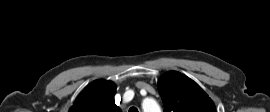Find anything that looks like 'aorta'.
<instances>
[{
	"mask_svg": "<svg viewBox=\"0 0 270 112\" xmlns=\"http://www.w3.org/2000/svg\"><path fill=\"white\" fill-rule=\"evenodd\" d=\"M142 106L144 112H161L159 105L151 98L145 99Z\"/></svg>",
	"mask_w": 270,
	"mask_h": 112,
	"instance_id": "1",
	"label": "aorta"
}]
</instances>
